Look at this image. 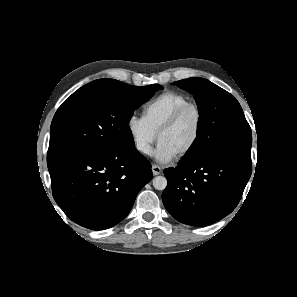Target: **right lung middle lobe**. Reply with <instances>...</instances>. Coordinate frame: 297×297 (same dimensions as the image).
Segmentation results:
<instances>
[{
  "mask_svg": "<svg viewBox=\"0 0 297 297\" xmlns=\"http://www.w3.org/2000/svg\"><path fill=\"white\" fill-rule=\"evenodd\" d=\"M160 89L159 84L139 87L114 79L78 89L52 120L48 168L75 153L134 146L128 125L133 111Z\"/></svg>",
  "mask_w": 297,
  "mask_h": 297,
  "instance_id": "obj_1",
  "label": "right lung middle lobe"
}]
</instances>
